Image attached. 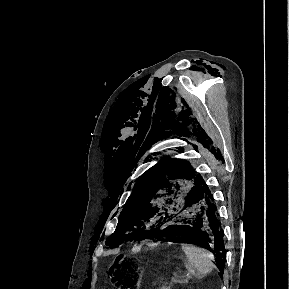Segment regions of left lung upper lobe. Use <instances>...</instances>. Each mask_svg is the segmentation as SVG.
<instances>
[{"instance_id": "left-lung-upper-lobe-1", "label": "left lung upper lobe", "mask_w": 289, "mask_h": 289, "mask_svg": "<svg viewBox=\"0 0 289 289\" xmlns=\"http://www.w3.org/2000/svg\"><path fill=\"white\" fill-rule=\"evenodd\" d=\"M203 183L201 175L184 160L165 159L151 167L136 182L106 244L116 248L124 242L146 239L165 223L172 204L186 187Z\"/></svg>"}]
</instances>
